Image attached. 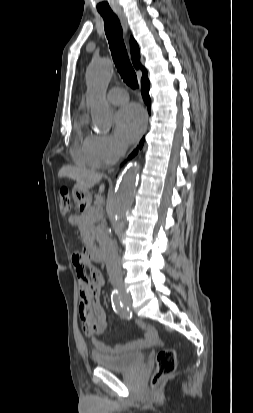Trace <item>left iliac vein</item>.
<instances>
[{"mask_svg": "<svg viewBox=\"0 0 253 413\" xmlns=\"http://www.w3.org/2000/svg\"><path fill=\"white\" fill-rule=\"evenodd\" d=\"M124 303L129 304V303H130V298L125 297V298H124Z\"/></svg>", "mask_w": 253, "mask_h": 413, "instance_id": "4c4485c4", "label": "left iliac vein"}]
</instances>
